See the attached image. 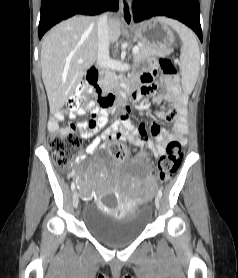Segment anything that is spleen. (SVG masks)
<instances>
[{
	"label": "spleen",
	"mask_w": 238,
	"mask_h": 278,
	"mask_svg": "<svg viewBox=\"0 0 238 278\" xmlns=\"http://www.w3.org/2000/svg\"><path fill=\"white\" fill-rule=\"evenodd\" d=\"M161 20L172 27L182 40L180 54L182 88L189 94L194 89L199 73L200 52L197 37L192 30L176 20L166 17H162Z\"/></svg>",
	"instance_id": "obj_1"
}]
</instances>
